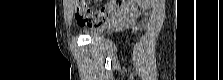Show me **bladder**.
Returning a JSON list of instances; mask_svg holds the SVG:
<instances>
[{"label": "bladder", "mask_w": 223, "mask_h": 80, "mask_svg": "<svg viewBox=\"0 0 223 80\" xmlns=\"http://www.w3.org/2000/svg\"><path fill=\"white\" fill-rule=\"evenodd\" d=\"M106 28H107V25L105 24L97 25L86 30V33L92 37H95V36L101 35L106 30Z\"/></svg>", "instance_id": "1"}]
</instances>
